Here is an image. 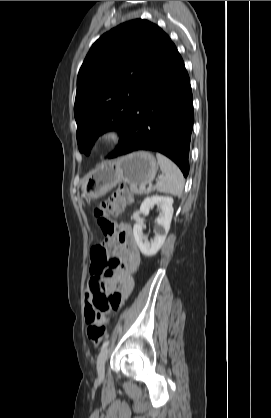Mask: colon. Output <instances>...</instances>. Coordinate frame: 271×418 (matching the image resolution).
Returning a JSON list of instances; mask_svg holds the SVG:
<instances>
[{
  "instance_id": "5ec220e1",
  "label": "colon",
  "mask_w": 271,
  "mask_h": 418,
  "mask_svg": "<svg viewBox=\"0 0 271 418\" xmlns=\"http://www.w3.org/2000/svg\"><path fill=\"white\" fill-rule=\"evenodd\" d=\"M132 196L129 190L121 186L114 191L107 200L103 201L94 211L97 224L102 233L111 238L115 234V225L112 217L119 214L126 205L130 204ZM91 274L95 284L94 305L86 311L87 334L93 343H100L106 334V319L104 316L110 301L101 290L99 278L108 277L119 267L117 257L107 258V247L100 245L91 250ZM118 299L113 301L118 304Z\"/></svg>"
}]
</instances>
